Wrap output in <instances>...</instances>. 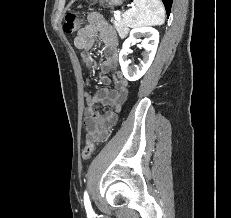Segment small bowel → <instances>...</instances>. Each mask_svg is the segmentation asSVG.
<instances>
[{
    "label": "small bowel",
    "instance_id": "1",
    "mask_svg": "<svg viewBox=\"0 0 231 218\" xmlns=\"http://www.w3.org/2000/svg\"><path fill=\"white\" fill-rule=\"evenodd\" d=\"M88 23L74 38V45L82 52V64L90 69H96L102 75V83H113V88H101L94 93H85L87 99L85 129L90 137L96 141H102L112 132L121 110L122 104L128 96V83L118 70L117 45L118 36L116 31L107 23L104 16L92 11L87 17ZM100 39L105 49V59L98 64L90 51ZM113 71L112 78L106 76ZM106 104L112 107L111 111L101 113L97 107Z\"/></svg>",
    "mask_w": 231,
    "mask_h": 218
}]
</instances>
